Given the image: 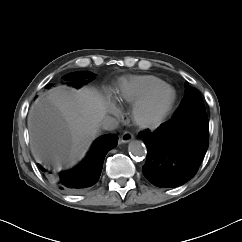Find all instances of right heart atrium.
Wrapping results in <instances>:
<instances>
[{
  "label": "right heart atrium",
  "instance_id": "right-heart-atrium-1",
  "mask_svg": "<svg viewBox=\"0 0 242 242\" xmlns=\"http://www.w3.org/2000/svg\"><path fill=\"white\" fill-rule=\"evenodd\" d=\"M108 110L112 113H116L118 111V107L114 101H108Z\"/></svg>",
  "mask_w": 242,
  "mask_h": 242
}]
</instances>
